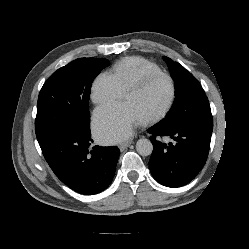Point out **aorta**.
I'll use <instances>...</instances> for the list:
<instances>
[{
  "label": "aorta",
  "mask_w": 249,
  "mask_h": 249,
  "mask_svg": "<svg viewBox=\"0 0 249 249\" xmlns=\"http://www.w3.org/2000/svg\"><path fill=\"white\" fill-rule=\"evenodd\" d=\"M136 150L142 156H149L152 153L153 145L150 140L141 138L136 143Z\"/></svg>",
  "instance_id": "aorta-1"
}]
</instances>
